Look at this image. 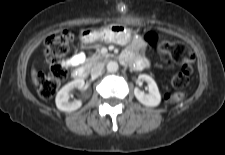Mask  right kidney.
<instances>
[{
	"label": "right kidney",
	"instance_id": "right-kidney-1",
	"mask_svg": "<svg viewBox=\"0 0 225 155\" xmlns=\"http://www.w3.org/2000/svg\"><path fill=\"white\" fill-rule=\"evenodd\" d=\"M84 80L76 79L74 81L69 82L65 86L61 88V90L56 95V106L60 111L71 112L77 110L81 107L82 101L75 100L73 102H69V93L74 88L82 89L84 87Z\"/></svg>",
	"mask_w": 225,
	"mask_h": 155
}]
</instances>
